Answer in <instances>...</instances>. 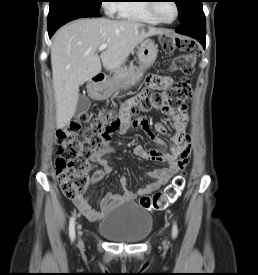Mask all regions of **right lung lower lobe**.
Here are the masks:
<instances>
[{
	"mask_svg": "<svg viewBox=\"0 0 258 275\" xmlns=\"http://www.w3.org/2000/svg\"><path fill=\"white\" fill-rule=\"evenodd\" d=\"M98 12L86 10V9H76V8H67L57 10L55 12L49 13L48 15V33L51 38L56 30L64 25L65 23L72 21L77 18L83 17H99Z\"/></svg>",
	"mask_w": 258,
	"mask_h": 275,
	"instance_id": "98d812e1",
	"label": "right lung lower lobe"
}]
</instances>
